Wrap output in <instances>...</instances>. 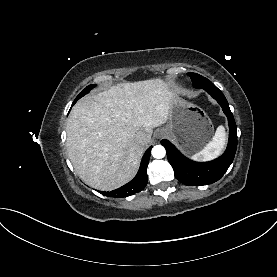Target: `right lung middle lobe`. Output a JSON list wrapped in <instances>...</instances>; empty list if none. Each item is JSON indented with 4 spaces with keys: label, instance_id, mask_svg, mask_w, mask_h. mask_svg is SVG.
Instances as JSON below:
<instances>
[{
    "label": "right lung middle lobe",
    "instance_id": "right-lung-middle-lobe-1",
    "mask_svg": "<svg viewBox=\"0 0 277 277\" xmlns=\"http://www.w3.org/2000/svg\"><path fill=\"white\" fill-rule=\"evenodd\" d=\"M96 85L93 84V85H89L87 86L77 97L76 99L74 100L72 106L76 103L77 100H79L82 96H84L85 94H87L92 88H94Z\"/></svg>",
    "mask_w": 277,
    "mask_h": 277
}]
</instances>
